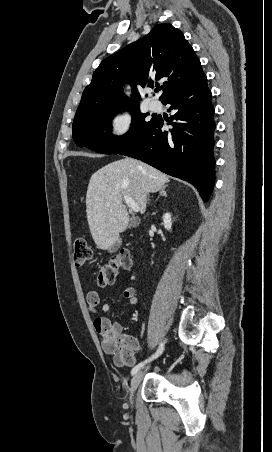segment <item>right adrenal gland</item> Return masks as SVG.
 Wrapping results in <instances>:
<instances>
[{
    "label": "right adrenal gland",
    "mask_w": 272,
    "mask_h": 452,
    "mask_svg": "<svg viewBox=\"0 0 272 452\" xmlns=\"http://www.w3.org/2000/svg\"><path fill=\"white\" fill-rule=\"evenodd\" d=\"M166 187H167V185H164V186L160 189V191H159V196L157 197L156 201L158 200V198H159L160 196H164V197L167 196V193H166V191H165Z\"/></svg>",
    "instance_id": "right-adrenal-gland-1"
}]
</instances>
